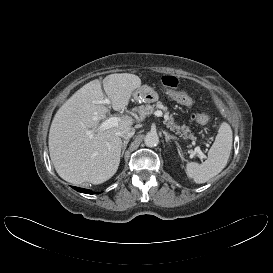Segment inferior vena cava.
Here are the masks:
<instances>
[{"mask_svg":"<svg viewBox=\"0 0 273 273\" xmlns=\"http://www.w3.org/2000/svg\"><path fill=\"white\" fill-rule=\"evenodd\" d=\"M135 134V129L133 127H126L119 131L118 135L124 139H129Z\"/></svg>","mask_w":273,"mask_h":273,"instance_id":"obj_1","label":"inferior vena cava"}]
</instances>
